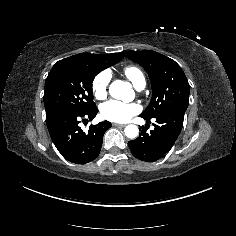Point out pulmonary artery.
<instances>
[{
    "label": "pulmonary artery",
    "mask_w": 236,
    "mask_h": 236,
    "mask_svg": "<svg viewBox=\"0 0 236 236\" xmlns=\"http://www.w3.org/2000/svg\"><path fill=\"white\" fill-rule=\"evenodd\" d=\"M145 88V82H141L136 86L137 91H142Z\"/></svg>",
    "instance_id": "e3ab8cb5"
}]
</instances>
